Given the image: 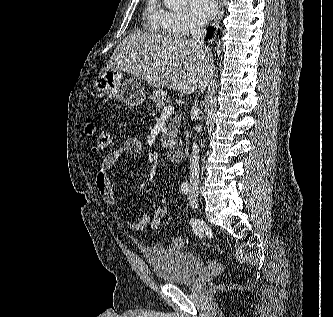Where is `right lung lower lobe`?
<instances>
[{"instance_id": "obj_1", "label": "right lung lower lobe", "mask_w": 333, "mask_h": 317, "mask_svg": "<svg viewBox=\"0 0 333 317\" xmlns=\"http://www.w3.org/2000/svg\"><path fill=\"white\" fill-rule=\"evenodd\" d=\"M213 31V28H208V34H207V36H206V40L210 37V35H211V32Z\"/></svg>"}]
</instances>
